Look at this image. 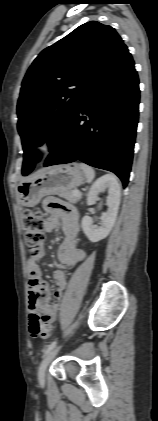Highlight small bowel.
Here are the masks:
<instances>
[{
	"label": "small bowel",
	"mask_w": 158,
	"mask_h": 421,
	"mask_svg": "<svg viewBox=\"0 0 158 421\" xmlns=\"http://www.w3.org/2000/svg\"><path fill=\"white\" fill-rule=\"evenodd\" d=\"M44 208L50 214L47 223L48 230L61 226L65 238L57 252L60 267L53 274L57 289L53 294L52 302L49 286L43 280L38 265V261L45 254L44 245L41 244L36 253L28 260L29 329L33 335L41 325H51L57 319L59 305L66 287L65 270L81 263L85 258L84 250L78 247L79 215L76 209L54 197L45 199Z\"/></svg>",
	"instance_id": "small-bowel-1"
}]
</instances>
